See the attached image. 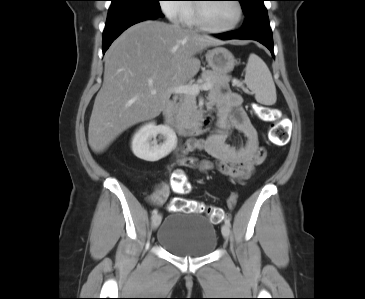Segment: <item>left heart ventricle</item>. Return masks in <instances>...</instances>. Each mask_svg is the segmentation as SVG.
I'll return each instance as SVG.
<instances>
[{
	"mask_svg": "<svg viewBox=\"0 0 365 299\" xmlns=\"http://www.w3.org/2000/svg\"><path fill=\"white\" fill-rule=\"evenodd\" d=\"M203 5L206 20L213 27H229L237 20L238 10L233 1H225V3H203Z\"/></svg>",
	"mask_w": 365,
	"mask_h": 299,
	"instance_id": "left-heart-ventricle-1",
	"label": "left heart ventricle"
}]
</instances>
